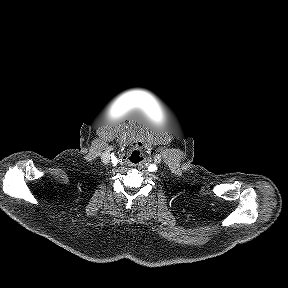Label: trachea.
I'll return each mask as SVG.
<instances>
[{
	"label": "trachea",
	"instance_id": "trachea-1",
	"mask_svg": "<svg viewBox=\"0 0 288 288\" xmlns=\"http://www.w3.org/2000/svg\"><path fill=\"white\" fill-rule=\"evenodd\" d=\"M144 160L143 151L140 148L133 149L128 155V161L131 164H139Z\"/></svg>",
	"mask_w": 288,
	"mask_h": 288
}]
</instances>
